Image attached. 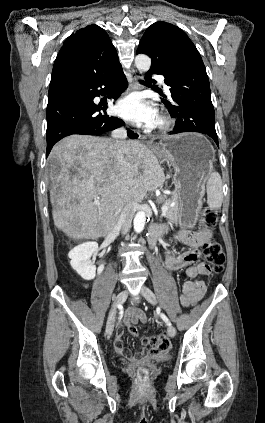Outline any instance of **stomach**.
<instances>
[{"instance_id":"stomach-1","label":"stomach","mask_w":265,"mask_h":423,"mask_svg":"<svg viewBox=\"0 0 265 423\" xmlns=\"http://www.w3.org/2000/svg\"><path fill=\"white\" fill-rule=\"evenodd\" d=\"M159 154L175 169L178 223L181 227L193 228L202 208L204 184L212 172L214 148L201 134L182 133L164 138Z\"/></svg>"}]
</instances>
